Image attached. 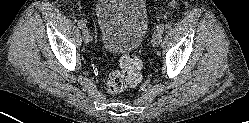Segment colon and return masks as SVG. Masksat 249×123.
<instances>
[{
	"label": "colon",
	"instance_id": "1",
	"mask_svg": "<svg viewBox=\"0 0 249 123\" xmlns=\"http://www.w3.org/2000/svg\"><path fill=\"white\" fill-rule=\"evenodd\" d=\"M141 80V61L135 55H126L119 62V69L110 73L107 81L109 93H119Z\"/></svg>",
	"mask_w": 249,
	"mask_h": 123
}]
</instances>
